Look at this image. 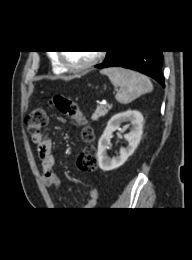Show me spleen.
I'll return each instance as SVG.
<instances>
[{
	"label": "spleen",
	"instance_id": "spleen-1",
	"mask_svg": "<svg viewBox=\"0 0 192 260\" xmlns=\"http://www.w3.org/2000/svg\"><path fill=\"white\" fill-rule=\"evenodd\" d=\"M101 73L107 75L113 85L120 86L115 98L122 104H128L153 90L149 78L135 71L112 67L101 70Z\"/></svg>",
	"mask_w": 192,
	"mask_h": 260
}]
</instances>
